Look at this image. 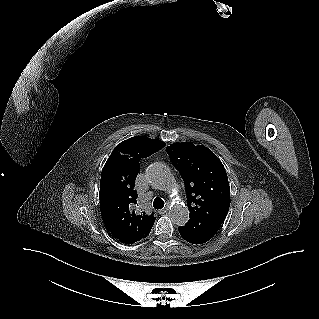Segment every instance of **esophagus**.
Returning <instances> with one entry per match:
<instances>
[{
    "instance_id": "obj_1",
    "label": "esophagus",
    "mask_w": 319,
    "mask_h": 319,
    "mask_svg": "<svg viewBox=\"0 0 319 319\" xmlns=\"http://www.w3.org/2000/svg\"><path fill=\"white\" fill-rule=\"evenodd\" d=\"M167 211H168V208H164V209L159 210L158 213L163 215V214L167 213Z\"/></svg>"
}]
</instances>
